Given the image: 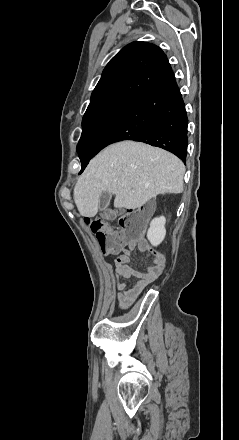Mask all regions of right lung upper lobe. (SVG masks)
Listing matches in <instances>:
<instances>
[{
	"instance_id": "1",
	"label": "right lung upper lobe",
	"mask_w": 239,
	"mask_h": 440,
	"mask_svg": "<svg viewBox=\"0 0 239 440\" xmlns=\"http://www.w3.org/2000/svg\"><path fill=\"white\" fill-rule=\"evenodd\" d=\"M171 71L166 55L158 46L147 42L130 43L105 67L88 107L115 97L135 98Z\"/></svg>"
}]
</instances>
